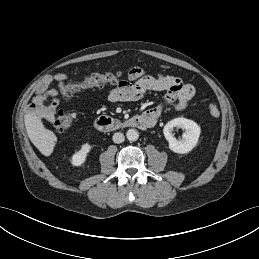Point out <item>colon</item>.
<instances>
[{
  "label": "colon",
  "mask_w": 259,
  "mask_h": 259,
  "mask_svg": "<svg viewBox=\"0 0 259 259\" xmlns=\"http://www.w3.org/2000/svg\"><path fill=\"white\" fill-rule=\"evenodd\" d=\"M122 73H105V74H92L84 77L81 80H69L61 82L59 85V94L62 98L68 99L74 93L81 89L91 87H101L106 84H118L122 81ZM208 112L212 117H218L220 112L217 106L209 105ZM74 122L73 114L69 112H61L57 116L54 126L58 132H65L72 128Z\"/></svg>",
  "instance_id": "1"
}]
</instances>
